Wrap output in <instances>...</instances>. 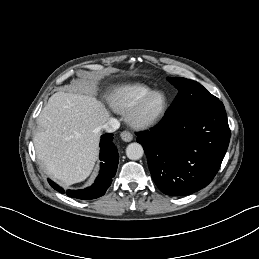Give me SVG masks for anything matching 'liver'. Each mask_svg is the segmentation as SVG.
<instances>
[{
  "label": "liver",
  "mask_w": 259,
  "mask_h": 259,
  "mask_svg": "<svg viewBox=\"0 0 259 259\" xmlns=\"http://www.w3.org/2000/svg\"><path fill=\"white\" fill-rule=\"evenodd\" d=\"M108 119L103 103L91 95L53 94L34 136L37 158L47 174L66 186L85 180L98 158L101 126Z\"/></svg>",
  "instance_id": "6515ba94"
}]
</instances>
